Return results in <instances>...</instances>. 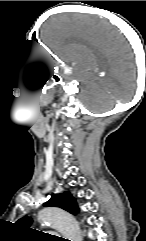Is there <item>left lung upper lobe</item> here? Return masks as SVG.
<instances>
[{"instance_id":"obj_1","label":"left lung upper lobe","mask_w":146,"mask_h":241,"mask_svg":"<svg viewBox=\"0 0 146 241\" xmlns=\"http://www.w3.org/2000/svg\"><path fill=\"white\" fill-rule=\"evenodd\" d=\"M44 206L60 207L72 214H76L79 211L76 200L70 192L53 194L52 197L44 203ZM19 222L22 223L21 225L28 228L32 221L29 217H23L19 220Z\"/></svg>"}]
</instances>
